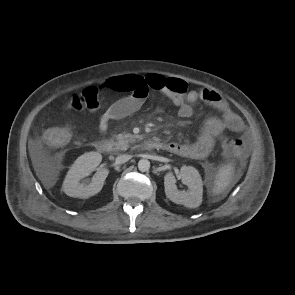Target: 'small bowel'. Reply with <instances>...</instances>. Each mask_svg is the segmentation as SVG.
<instances>
[{
	"label": "small bowel",
	"mask_w": 295,
	"mask_h": 295,
	"mask_svg": "<svg viewBox=\"0 0 295 295\" xmlns=\"http://www.w3.org/2000/svg\"><path fill=\"white\" fill-rule=\"evenodd\" d=\"M99 91L128 92L129 95L112 103L99 118V130L105 133L112 120L122 119L144 104L150 90L158 91L169 97L177 107L178 116L184 119L193 114V105L203 101L221 113L220 118L209 119L199 138L190 143L166 142L163 149L176 155L203 159L207 157L220 134L227 130L239 133L244 129L242 119L229 104L216 92L208 89L189 90L184 80L169 78L158 74L146 76L126 75L107 79L97 85Z\"/></svg>",
	"instance_id": "1"
}]
</instances>
